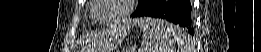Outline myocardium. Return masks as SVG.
<instances>
[{
  "label": "myocardium",
  "instance_id": "1",
  "mask_svg": "<svg viewBox=\"0 0 261 52\" xmlns=\"http://www.w3.org/2000/svg\"><path fill=\"white\" fill-rule=\"evenodd\" d=\"M94 2L96 3V7L92 11V18L100 24L108 25V24H114V23L120 22L123 19L127 18L132 13L133 5L136 1L135 0H123L124 9L121 11V13L116 18H114L112 20H108V21L100 20L97 18V12L104 5V1L95 0Z\"/></svg>",
  "mask_w": 261,
  "mask_h": 52
}]
</instances>
